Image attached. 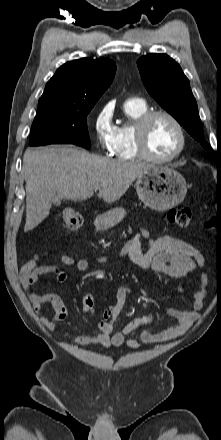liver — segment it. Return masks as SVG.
I'll use <instances>...</instances> for the list:
<instances>
[{"label": "liver", "mask_w": 221, "mask_h": 440, "mask_svg": "<svg viewBox=\"0 0 221 440\" xmlns=\"http://www.w3.org/2000/svg\"><path fill=\"white\" fill-rule=\"evenodd\" d=\"M153 165L111 160L72 146L27 149L23 157L26 181L28 232L48 215L60 199L87 200L99 186L98 197L111 204L119 200L135 179Z\"/></svg>", "instance_id": "liver-1"}]
</instances>
